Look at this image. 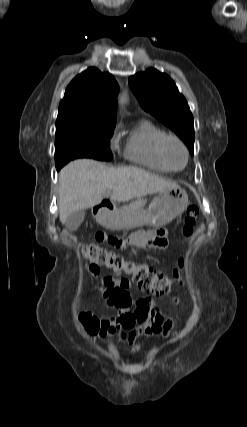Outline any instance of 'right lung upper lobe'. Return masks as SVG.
<instances>
[{
  "label": "right lung upper lobe",
  "instance_id": "obj_1",
  "mask_svg": "<svg viewBox=\"0 0 247 427\" xmlns=\"http://www.w3.org/2000/svg\"><path fill=\"white\" fill-rule=\"evenodd\" d=\"M118 83L109 73L88 68L68 85L59 105V113L75 114L101 123H116Z\"/></svg>",
  "mask_w": 247,
  "mask_h": 427
}]
</instances>
